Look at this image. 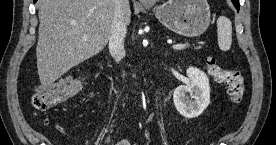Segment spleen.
Segmentation results:
<instances>
[{
  "label": "spleen",
  "mask_w": 276,
  "mask_h": 145,
  "mask_svg": "<svg viewBox=\"0 0 276 145\" xmlns=\"http://www.w3.org/2000/svg\"><path fill=\"white\" fill-rule=\"evenodd\" d=\"M217 36L219 48L222 51H228L232 44V24L225 16L217 20Z\"/></svg>",
  "instance_id": "1"
}]
</instances>
